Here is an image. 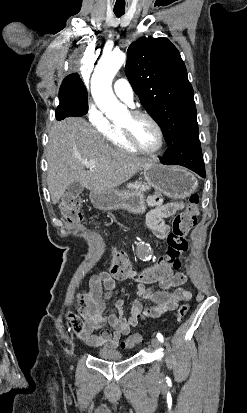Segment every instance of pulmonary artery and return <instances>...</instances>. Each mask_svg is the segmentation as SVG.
<instances>
[{
  "mask_svg": "<svg viewBox=\"0 0 247 413\" xmlns=\"http://www.w3.org/2000/svg\"><path fill=\"white\" fill-rule=\"evenodd\" d=\"M113 89L117 97L129 104L132 103L134 90L131 82L126 77H120L115 80Z\"/></svg>",
  "mask_w": 247,
  "mask_h": 413,
  "instance_id": "pulmonary-artery-1",
  "label": "pulmonary artery"
}]
</instances>
